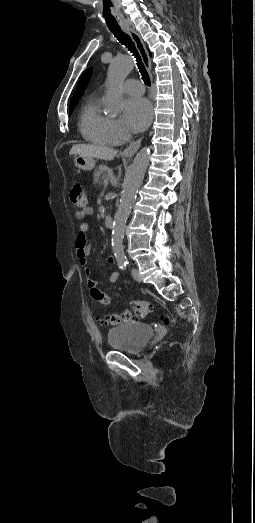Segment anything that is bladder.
<instances>
[{"label": "bladder", "instance_id": "1", "mask_svg": "<svg viewBox=\"0 0 255 523\" xmlns=\"http://www.w3.org/2000/svg\"><path fill=\"white\" fill-rule=\"evenodd\" d=\"M152 336L153 329L143 323H127L112 328L107 335L108 345L124 352H141Z\"/></svg>", "mask_w": 255, "mask_h": 523}]
</instances>
